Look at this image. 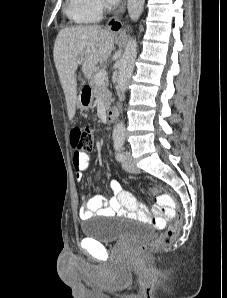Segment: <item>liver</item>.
Returning a JSON list of instances; mask_svg holds the SVG:
<instances>
[{"instance_id": "liver-1", "label": "liver", "mask_w": 227, "mask_h": 298, "mask_svg": "<svg viewBox=\"0 0 227 298\" xmlns=\"http://www.w3.org/2000/svg\"><path fill=\"white\" fill-rule=\"evenodd\" d=\"M114 48L112 33L99 26H76L59 31L54 43V63L59 75L70 120L75 116L77 96V60L89 79L98 63H105Z\"/></svg>"}]
</instances>
